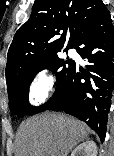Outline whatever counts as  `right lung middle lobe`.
<instances>
[{
    "label": "right lung middle lobe",
    "mask_w": 114,
    "mask_h": 156,
    "mask_svg": "<svg viewBox=\"0 0 114 156\" xmlns=\"http://www.w3.org/2000/svg\"><path fill=\"white\" fill-rule=\"evenodd\" d=\"M65 64H68V67H66ZM74 64L75 62L70 59L66 62H63L62 59H60L58 56H55L46 60L39 66L27 70L15 77L12 83L8 86L9 108L11 112L18 116H23L24 114L32 115L45 111L61 93L74 67ZM43 69H50L53 72L58 71L56 73L57 87L53 96L45 104L41 105L40 107H34L27 104L29 86L35 75Z\"/></svg>",
    "instance_id": "dd1d6c3e"
}]
</instances>
